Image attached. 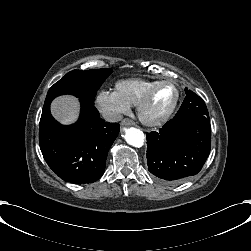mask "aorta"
I'll list each match as a JSON object with an SVG mask.
<instances>
[{"label":"aorta","instance_id":"1","mask_svg":"<svg viewBox=\"0 0 251 251\" xmlns=\"http://www.w3.org/2000/svg\"><path fill=\"white\" fill-rule=\"evenodd\" d=\"M122 130L125 133L124 139L126 143L135 147H141L143 145L144 134L140 129L135 127H125L122 128Z\"/></svg>","mask_w":251,"mask_h":251}]
</instances>
